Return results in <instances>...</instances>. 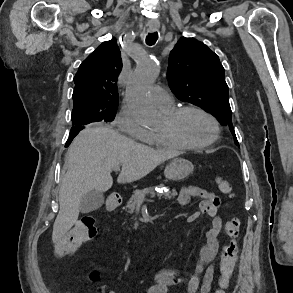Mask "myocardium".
<instances>
[{
  "label": "myocardium",
  "mask_w": 293,
  "mask_h": 293,
  "mask_svg": "<svg viewBox=\"0 0 293 293\" xmlns=\"http://www.w3.org/2000/svg\"><path fill=\"white\" fill-rule=\"evenodd\" d=\"M188 112H197L203 115L204 117H206L210 121V123L213 126V135L209 140L203 143L194 144V143H190L186 141L180 135V133L177 130V125L180 119L182 118V116ZM167 120H168V127L164 131H162V134L168 139L181 145L184 148L194 149V150L204 149L213 145L220 138L221 130H220L219 122L211 113H209L208 111L204 110L201 107L189 105V106H183V107L173 109L170 113L167 114Z\"/></svg>",
  "instance_id": "1"
}]
</instances>
